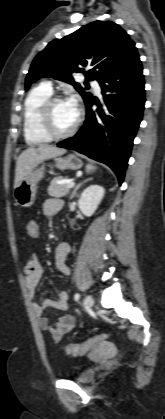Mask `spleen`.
<instances>
[{
    "label": "spleen",
    "mask_w": 165,
    "mask_h": 419,
    "mask_svg": "<svg viewBox=\"0 0 165 419\" xmlns=\"http://www.w3.org/2000/svg\"><path fill=\"white\" fill-rule=\"evenodd\" d=\"M95 169H96V167H95V166H93V165H91V164H88V165L86 166V171H87V173H90V172L94 171Z\"/></svg>",
    "instance_id": "spleen-1"
}]
</instances>
